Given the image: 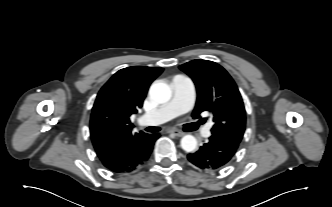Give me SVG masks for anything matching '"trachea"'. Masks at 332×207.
<instances>
[{"label":"trachea","mask_w":332,"mask_h":207,"mask_svg":"<svg viewBox=\"0 0 332 207\" xmlns=\"http://www.w3.org/2000/svg\"><path fill=\"white\" fill-rule=\"evenodd\" d=\"M200 124H202V122L189 124V129L190 130H195V129L198 128V126ZM145 130L148 131V132H158V131H160V128L159 127H147Z\"/></svg>","instance_id":"trachea-1"}]
</instances>
